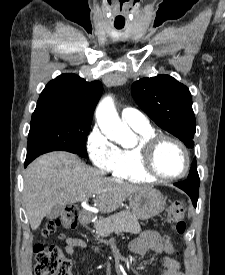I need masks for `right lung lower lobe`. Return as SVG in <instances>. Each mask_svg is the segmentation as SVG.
<instances>
[{
  "mask_svg": "<svg viewBox=\"0 0 225 275\" xmlns=\"http://www.w3.org/2000/svg\"><path fill=\"white\" fill-rule=\"evenodd\" d=\"M30 162H31L30 160L26 159V161H25V167H26Z\"/></svg>",
  "mask_w": 225,
  "mask_h": 275,
  "instance_id": "1",
  "label": "right lung lower lobe"
}]
</instances>
